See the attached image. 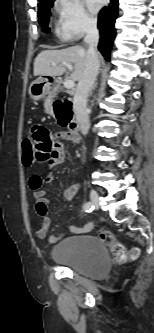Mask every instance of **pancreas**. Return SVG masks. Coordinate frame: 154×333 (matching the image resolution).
Wrapping results in <instances>:
<instances>
[{"label": "pancreas", "instance_id": "1", "mask_svg": "<svg viewBox=\"0 0 154 333\" xmlns=\"http://www.w3.org/2000/svg\"><path fill=\"white\" fill-rule=\"evenodd\" d=\"M55 94H56L55 92H52L50 94L49 98H48V102L46 103V107H47L48 110H50V106L49 105H50V103L52 101V98L55 97Z\"/></svg>", "mask_w": 154, "mask_h": 333}]
</instances>
